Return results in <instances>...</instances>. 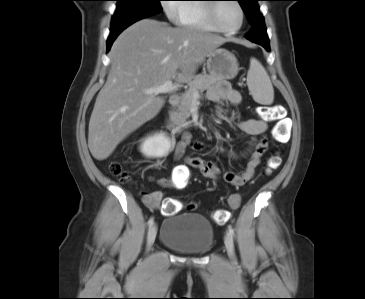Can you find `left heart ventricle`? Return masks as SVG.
Masks as SVG:
<instances>
[{
  "label": "left heart ventricle",
  "instance_id": "b2bd125f",
  "mask_svg": "<svg viewBox=\"0 0 365 299\" xmlns=\"http://www.w3.org/2000/svg\"><path fill=\"white\" fill-rule=\"evenodd\" d=\"M216 17L218 25L225 29H235L241 22L240 10L234 2L221 3Z\"/></svg>",
  "mask_w": 365,
  "mask_h": 299
}]
</instances>
